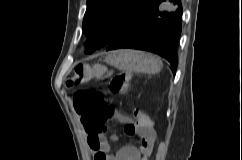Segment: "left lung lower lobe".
<instances>
[{
    "label": "left lung lower lobe",
    "instance_id": "0a47b994",
    "mask_svg": "<svg viewBox=\"0 0 242 160\" xmlns=\"http://www.w3.org/2000/svg\"><path fill=\"white\" fill-rule=\"evenodd\" d=\"M181 15V0H151L137 19L114 38L106 49L132 48L154 52L167 59L175 73Z\"/></svg>",
    "mask_w": 242,
    "mask_h": 160
}]
</instances>
